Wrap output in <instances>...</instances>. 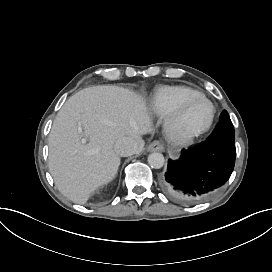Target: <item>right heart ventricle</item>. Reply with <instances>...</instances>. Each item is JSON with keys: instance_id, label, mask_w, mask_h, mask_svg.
Instances as JSON below:
<instances>
[{"instance_id": "right-heart-ventricle-1", "label": "right heart ventricle", "mask_w": 272, "mask_h": 272, "mask_svg": "<svg viewBox=\"0 0 272 272\" xmlns=\"http://www.w3.org/2000/svg\"><path fill=\"white\" fill-rule=\"evenodd\" d=\"M199 94V91L184 86H165L157 90L153 97V107L159 113H169L176 109L185 98Z\"/></svg>"}]
</instances>
